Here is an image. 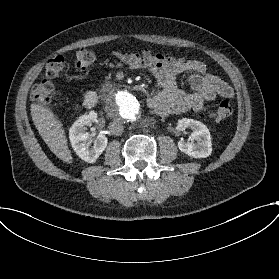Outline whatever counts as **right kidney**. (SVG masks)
<instances>
[{
	"label": "right kidney",
	"mask_w": 279,
	"mask_h": 279,
	"mask_svg": "<svg viewBox=\"0 0 279 279\" xmlns=\"http://www.w3.org/2000/svg\"><path fill=\"white\" fill-rule=\"evenodd\" d=\"M94 119L95 113L90 112L88 115L80 117L69 130L73 149L82 160L88 163H95L108 145L107 137L99 135L94 141V146L90 150L88 149L91 137L86 132V128L92 125Z\"/></svg>",
	"instance_id": "1"
}]
</instances>
